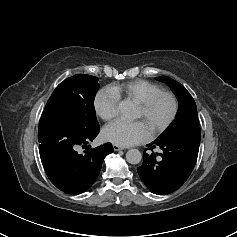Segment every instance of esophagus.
Masks as SVG:
<instances>
[{"label":"esophagus","mask_w":237,"mask_h":237,"mask_svg":"<svg viewBox=\"0 0 237 237\" xmlns=\"http://www.w3.org/2000/svg\"><path fill=\"white\" fill-rule=\"evenodd\" d=\"M113 149H114L115 151H119V150H122L123 148L120 147V146H118V145H114V144H113Z\"/></svg>","instance_id":"1"}]
</instances>
